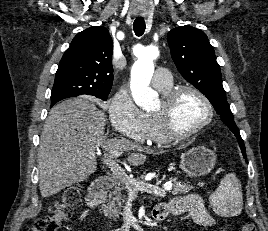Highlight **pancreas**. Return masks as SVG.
<instances>
[{
  "label": "pancreas",
  "mask_w": 268,
  "mask_h": 231,
  "mask_svg": "<svg viewBox=\"0 0 268 231\" xmlns=\"http://www.w3.org/2000/svg\"><path fill=\"white\" fill-rule=\"evenodd\" d=\"M142 178V176H141ZM136 181H140V179H134ZM167 186H171L170 193L172 195L178 194H186L193 186L187 183H181L176 178H170L169 182L166 184ZM126 193H128V188L126 184L120 179L117 181V185L114 187L113 191L110 192L109 197L107 199V203L103 205V211L105 216L109 219L117 220L119 215L121 214V207L126 200Z\"/></svg>",
  "instance_id": "1"
}]
</instances>
